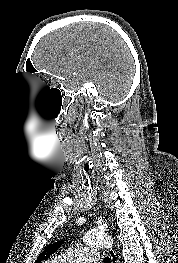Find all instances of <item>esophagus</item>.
<instances>
[{
    "instance_id": "obj_1",
    "label": "esophagus",
    "mask_w": 178,
    "mask_h": 263,
    "mask_svg": "<svg viewBox=\"0 0 178 263\" xmlns=\"http://www.w3.org/2000/svg\"><path fill=\"white\" fill-rule=\"evenodd\" d=\"M109 255L111 257V263H117V257L115 251L111 248L109 249Z\"/></svg>"
}]
</instances>
